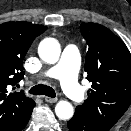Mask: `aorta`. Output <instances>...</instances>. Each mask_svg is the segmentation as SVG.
I'll use <instances>...</instances> for the list:
<instances>
[{"label":"aorta","mask_w":131,"mask_h":131,"mask_svg":"<svg viewBox=\"0 0 131 131\" xmlns=\"http://www.w3.org/2000/svg\"><path fill=\"white\" fill-rule=\"evenodd\" d=\"M60 44L54 38H46L41 41L38 53L40 58L49 64H54L60 57ZM55 113L58 118L67 120L74 114L73 106L67 101H59L55 106Z\"/></svg>","instance_id":"1"}]
</instances>
